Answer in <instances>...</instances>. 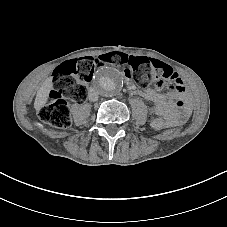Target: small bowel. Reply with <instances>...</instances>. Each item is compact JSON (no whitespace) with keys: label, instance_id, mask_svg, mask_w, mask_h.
<instances>
[{"label":"small bowel","instance_id":"c3829d8e","mask_svg":"<svg viewBox=\"0 0 227 227\" xmlns=\"http://www.w3.org/2000/svg\"><path fill=\"white\" fill-rule=\"evenodd\" d=\"M184 91L185 88L180 94L184 93ZM140 94L145 99L154 103V107L151 111L155 115L169 116L176 122H182L187 118L189 114L188 105L183 98L179 99L176 104L173 105L166 100L164 95L160 94L154 89L143 88L140 90Z\"/></svg>","mask_w":227,"mask_h":227}]
</instances>
